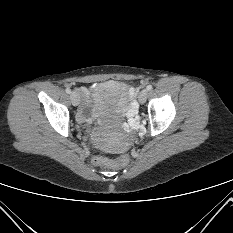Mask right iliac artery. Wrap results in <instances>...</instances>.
<instances>
[{"label": "right iliac artery", "instance_id": "right-iliac-artery-1", "mask_svg": "<svg viewBox=\"0 0 233 233\" xmlns=\"http://www.w3.org/2000/svg\"><path fill=\"white\" fill-rule=\"evenodd\" d=\"M66 93H68V94H70L71 93V90H70V88H66Z\"/></svg>", "mask_w": 233, "mask_h": 233}]
</instances>
